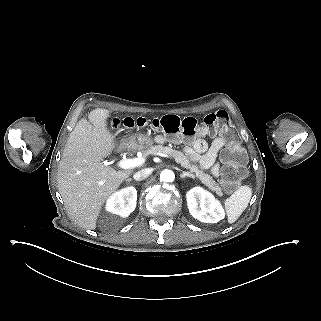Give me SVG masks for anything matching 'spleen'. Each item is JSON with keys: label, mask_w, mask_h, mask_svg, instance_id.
Returning a JSON list of instances; mask_svg holds the SVG:
<instances>
[{"label": "spleen", "mask_w": 321, "mask_h": 321, "mask_svg": "<svg viewBox=\"0 0 321 321\" xmlns=\"http://www.w3.org/2000/svg\"><path fill=\"white\" fill-rule=\"evenodd\" d=\"M252 196L249 183L240 186L231 196L223 201L227 222L233 224L244 212Z\"/></svg>", "instance_id": "3e777b00"}]
</instances>
